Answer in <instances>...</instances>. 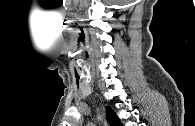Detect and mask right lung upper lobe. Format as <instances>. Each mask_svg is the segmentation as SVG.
<instances>
[{"label":"right lung upper lobe","mask_w":195,"mask_h":126,"mask_svg":"<svg viewBox=\"0 0 195 126\" xmlns=\"http://www.w3.org/2000/svg\"><path fill=\"white\" fill-rule=\"evenodd\" d=\"M106 114H107V119H108L109 123L111 124V126H122L119 118L113 112V110L111 108L107 107Z\"/></svg>","instance_id":"right-lung-upper-lobe-1"}]
</instances>
